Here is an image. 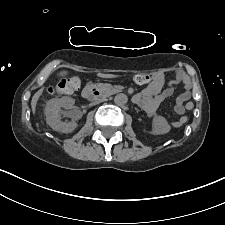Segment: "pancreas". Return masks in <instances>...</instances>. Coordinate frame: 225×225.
Here are the masks:
<instances>
[{
	"label": "pancreas",
	"mask_w": 225,
	"mask_h": 225,
	"mask_svg": "<svg viewBox=\"0 0 225 225\" xmlns=\"http://www.w3.org/2000/svg\"><path fill=\"white\" fill-rule=\"evenodd\" d=\"M98 88L106 95H110V94L118 91V87L112 86L111 84H99Z\"/></svg>",
	"instance_id": "cf45deb5"
}]
</instances>
